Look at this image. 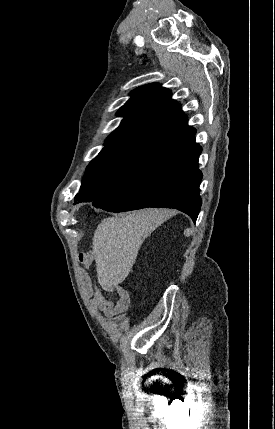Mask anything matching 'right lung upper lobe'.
Masks as SVG:
<instances>
[{
    "instance_id": "right-lung-upper-lobe-1",
    "label": "right lung upper lobe",
    "mask_w": 275,
    "mask_h": 429,
    "mask_svg": "<svg viewBox=\"0 0 275 429\" xmlns=\"http://www.w3.org/2000/svg\"><path fill=\"white\" fill-rule=\"evenodd\" d=\"M117 112L120 126L106 139L102 151L123 150L152 158L168 147L196 134L188 126L171 91L157 83L141 86Z\"/></svg>"
}]
</instances>
